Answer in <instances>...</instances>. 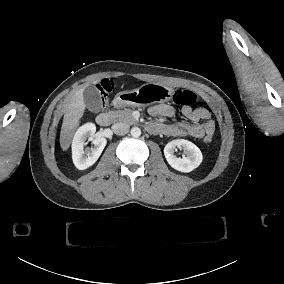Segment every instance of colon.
<instances>
[{"label":"colon","instance_id":"1","mask_svg":"<svg viewBox=\"0 0 284 284\" xmlns=\"http://www.w3.org/2000/svg\"><path fill=\"white\" fill-rule=\"evenodd\" d=\"M177 101L182 106H190L195 101V94L190 89H182L177 94ZM204 139L206 142H210L211 136L207 135Z\"/></svg>","mask_w":284,"mask_h":284}]
</instances>
